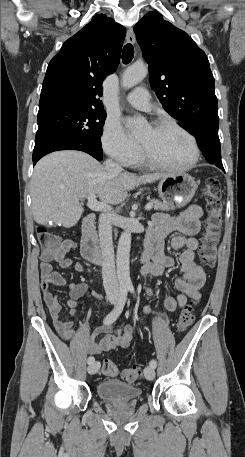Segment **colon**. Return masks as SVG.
Wrapping results in <instances>:
<instances>
[{
	"label": "colon",
	"instance_id": "colon-1",
	"mask_svg": "<svg viewBox=\"0 0 245 457\" xmlns=\"http://www.w3.org/2000/svg\"><path fill=\"white\" fill-rule=\"evenodd\" d=\"M203 195L207 201V218L199 255L206 266L212 267L215 263V254L222 225L221 185L217 178L211 177L206 180ZM37 237L44 255L52 256L56 254L61 246L59 235L47 227H39L37 229ZM193 321V308L187 305L179 315L177 321L178 330H186L192 325ZM102 372L107 376H116L118 368L113 361L105 359L102 364ZM140 376L141 369L136 366L124 369L122 372V378L127 382H135Z\"/></svg>",
	"mask_w": 245,
	"mask_h": 457
}]
</instances>
